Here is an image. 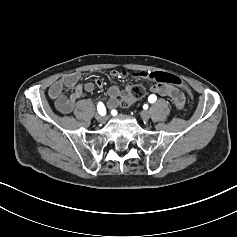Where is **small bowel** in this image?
Masks as SVG:
<instances>
[{
	"instance_id": "small-bowel-1",
	"label": "small bowel",
	"mask_w": 237,
	"mask_h": 237,
	"mask_svg": "<svg viewBox=\"0 0 237 237\" xmlns=\"http://www.w3.org/2000/svg\"><path fill=\"white\" fill-rule=\"evenodd\" d=\"M150 72L135 73L136 77L149 78ZM126 72H119L113 70L111 77L113 78H125ZM103 80L96 78L91 81L82 82V74L80 72H73L64 75L61 79L54 82L49 87V96L54 101L56 108L63 114L76 113L78 116L83 117L85 112H89L92 105L89 101L83 100L84 92H92L96 87H103ZM67 89H73L70 94L66 93ZM151 91L162 96L169 97L173 102L176 109L180 110L183 108L185 103L184 95L174 86L155 83L151 86ZM120 89L116 86H111L108 89L109 99L107 106L110 109H114L119 105Z\"/></svg>"
}]
</instances>
